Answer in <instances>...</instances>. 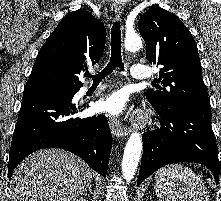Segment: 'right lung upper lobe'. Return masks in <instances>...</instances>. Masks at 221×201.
Masks as SVG:
<instances>
[{
    "instance_id": "cb5924a9",
    "label": "right lung upper lobe",
    "mask_w": 221,
    "mask_h": 201,
    "mask_svg": "<svg viewBox=\"0 0 221 201\" xmlns=\"http://www.w3.org/2000/svg\"><path fill=\"white\" fill-rule=\"evenodd\" d=\"M105 41L106 29L92 14H67L38 52L25 89H80L78 75L100 60Z\"/></svg>"
}]
</instances>
